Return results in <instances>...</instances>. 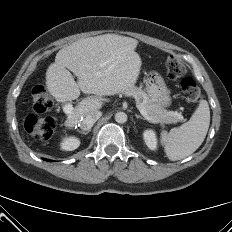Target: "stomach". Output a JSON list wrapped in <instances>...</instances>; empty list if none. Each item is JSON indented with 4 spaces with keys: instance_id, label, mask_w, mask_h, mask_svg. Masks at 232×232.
<instances>
[{
    "instance_id": "1",
    "label": "stomach",
    "mask_w": 232,
    "mask_h": 232,
    "mask_svg": "<svg viewBox=\"0 0 232 232\" xmlns=\"http://www.w3.org/2000/svg\"><path fill=\"white\" fill-rule=\"evenodd\" d=\"M147 92L150 98L161 107H168L171 104L170 91L161 77L148 79L146 82Z\"/></svg>"
}]
</instances>
